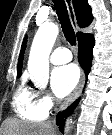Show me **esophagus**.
I'll use <instances>...</instances> for the list:
<instances>
[{
  "mask_svg": "<svg viewBox=\"0 0 112 135\" xmlns=\"http://www.w3.org/2000/svg\"><path fill=\"white\" fill-rule=\"evenodd\" d=\"M66 4L68 6V11H69L70 17H71L72 21L75 22V12H74V9H73V6H72V1L66 0ZM84 83H85V74H84V72H82V75H81V78H80V81H79L77 87L72 92V94L63 102V104L60 107V110L66 109L67 106L71 102H73L75 99H77L79 97V95L82 92Z\"/></svg>",
  "mask_w": 112,
  "mask_h": 135,
  "instance_id": "1",
  "label": "esophagus"
}]
</instances>
